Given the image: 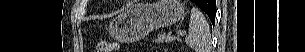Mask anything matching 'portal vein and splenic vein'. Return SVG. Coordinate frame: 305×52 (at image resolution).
Wrapping results in <instances>:
<instances>
[{"instance_id":"1","label":"portal vein and splenic vein","mask_w":305,"mask_h":52,"mask_svg":"<svg viewBox=\"0 0 305 52\" xmlns=\"http://www.w3.org/2000/svg\"><path fill=\"white\" fill-rule=\"evenodd\" d=\"M178 35H185L186 31L185 30H179L176 32Z\"/></svg>"}]
</instances>
